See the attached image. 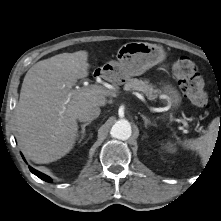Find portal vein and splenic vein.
<instances>
[{
  "label": "portal vein and splenic vein",
  "instance_id": "1",
  "mask_svg": "<svg viewBox=\"0 0 221 221\" xmlns=\"http://www.w3.org/2000/svg\"><path fill=\"white\" fill-rule=\"evenodd\" d=\"M83 90L89 94H104V95H113V96L115 95L113 92L106 90L103 86L96 85V84L86 86L83 88ZM69 96H71V93L69 94ZM68 101H69V99H68ZM183 124H184V126L188 125L186 121H183Z\"/></svg>",
  "mask_w": 221,
  "mask_h": 221
}]
</instances>
